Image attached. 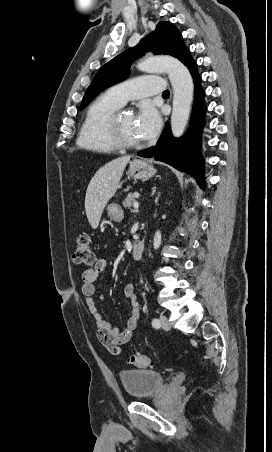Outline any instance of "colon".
<instances>
[{
  "instance_id": "1",
  "label": "colon",
  "mask_w": 272,
  "mask_h": 452,
  "mask_svg": "<svg viewBox=\"0 0 272 452\" xmlns=\"http://www.w3.org/2000/svg\"><path fill=\"white\" fill-rule=\"evenodd\" d=\"M73 261L77 265H92L95 261L91 240L87 235H79L76 240V250ZM118 351L117 349H114ZM129 362L138 367H149L153 365L151 357L146 355H132Z\"/></svg>"
}]
</instances>
